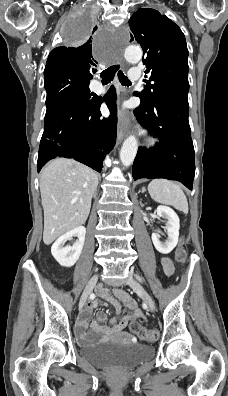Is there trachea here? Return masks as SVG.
I'll list each match as a JSON object with an SVG mask.
<instances>
[{
    "instance_id": "trachea-1",
    "label": "trachea",
    "mask_w": 228,
    "mask_h": 396,
    "mask_svg": "<svg viewBox=\"0 0 228 396\" xmlns=\"http://www.w3.org/2000/svg\"><path fill=\"white\" fill-rule=\"evenodd\" d=\"M117 73L119 81L122 85L125 86H129L131 84V82L129 81V79L124 75V73L120 70V66L119 65H113L107 69H105L104 71H102L100 73V76L102 78V83L103 84H108L110 83L115 74Z\"/></svg>"
}]
</instances>
